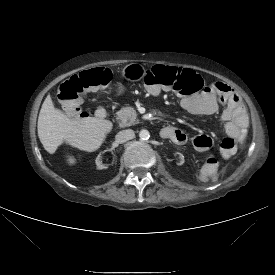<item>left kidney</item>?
<instances>
[{"mask_svg":"<svg viewBox=\"0 0 275 275\" xmlns=\"http://www.w3.org/2000/svg\"><path fill=\"white\" fill-rule=\"evenodd\" d=\"M177 155H178V158H179V163L178 164L183 165L184 162H185L183 154L177 153Z\"/></svg>","mask_w":275,"mask_h":275,"instance_id":"left-kidney-1","label":"left kidney"}]
</instances>
